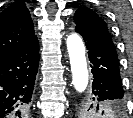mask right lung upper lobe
<instances>
[{
	"label": "right lung upper lobe",
	"instance_id": "obj_1",
	"mask_svg": "<svg viewBox=\"0 0 133 118\" xmlns=\"http://www.w3.org/2000/svg\"><path fill=\"white\" fill-rule=\"evenodd\" d=\"M36 39L24 1H16L0 14V58Z\"/></svg>",
	"mask_w": 133,
	"mask_h": 118
}]
</instances>
